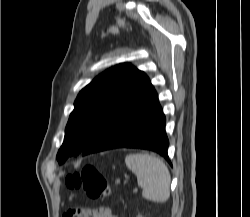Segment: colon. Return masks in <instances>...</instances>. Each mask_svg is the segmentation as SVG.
<instances>
[{"mask_svg": "<svg viewBox=\"0 0 250 217\" xmlns=\"http://www.w3.org/2000/svg\"><path fill=\"white\" fill-rule=\"evenodd\" d=\"M67 186L72 189L82 188L93 199L110 196L111 187L106 176L93 165H85L80 172L70 174L66 179ZM96 210L91 207H77L68 210L63 217H72L74 213L80 217H88Z\"/></svg>", "mask_w": 250, "mask_h": 217, "instance_id": "1", "label": "colon"}]
</instances>
